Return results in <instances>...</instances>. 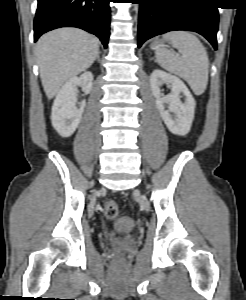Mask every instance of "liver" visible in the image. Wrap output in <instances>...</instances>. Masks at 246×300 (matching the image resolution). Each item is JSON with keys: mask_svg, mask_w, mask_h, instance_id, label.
<instances>
[{"mask_svg": "<svg viewBox=\"0 0 246 300\" xmlns=\"http://www.w3.org/2000/svg\"><path fill=\"white\" fill-rule=\"evenodd\" d=\"M99 53L98 40L77 28H60L43 35L35 55L48 99L70 78L88 69Z\"/></svg>", "mask_w": 246, "mask_h": 300, "instance_id": "1", "label": "liver"}]
</instances>
